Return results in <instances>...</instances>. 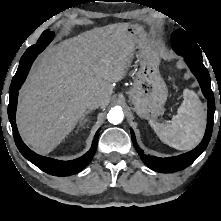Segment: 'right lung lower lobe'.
I'll return each instance as SVG.
<instances>
[{"label": "right lung lower lobe", "instance_id": "98d812e1", "mask_svg": "<svg viewBox=\"0 0 221 221\" xmlns=\"http://www.w3.org/2000/svg\"><path fill=\"white\" fill-rule=\"evenodd\" d=\"M41 51H43L42 48L39 50H30V48H28L22 56L18 70L12 79L9 89L8 117L11 122L16 146L27 160L48 174L55 176H68L78 173L89 164L97 149L99 130L95 134L91 149L86 154L75 160L59 161L40 156L31 151L22 141L14 121L17 107L18 90L25 81L33 61Z\"/></svg>", "mask_w": 221, "mask_h": 221}]
</instances>
